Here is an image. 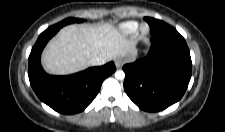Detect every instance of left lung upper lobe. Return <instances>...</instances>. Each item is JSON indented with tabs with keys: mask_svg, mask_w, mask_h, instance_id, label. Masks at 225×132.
Masks as SVG:
<instances>
[{
	"mask_svg": "<svg viewBox=\"0 0 225 132\" xmlns=\"http://www.w3.org/2000/svg\"><path fill=\"white\" fill-rule=\"evenodd\" d=\"M173 30H176V29L173 28L172 26L166 24L165 22H163V26H161V27H159V26L158 27H151L150 26V31H151V34H153V35L162 34V33L170 32V31H173Z\"/></svg>",
	"mask_w": 225,
	"mask_h": 132,
	"instance_id": "5c2ea615",
	"label": "left lung upper lobe"
}]
</instances>
